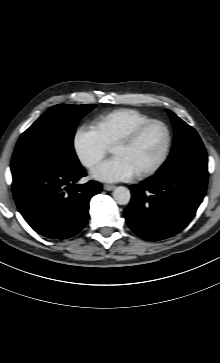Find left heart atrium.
Instances as JSON below:
<instances>
[{"label": "left heart atrium", "instance_id": "obj_1", "mask_svg": "<svg viewBox=\"0 0 220 363\" xmlns=\"http://www.w3.org/2000/svg\"><path fill=\"white\" fill-rule=\"evenodd\" d=\"M135 170L128 161L121 156H113L92 170V177L105 182H117L132 179Z\"/></svg>", "mask_w": 220, "mask_h": 363}]
</instances>
